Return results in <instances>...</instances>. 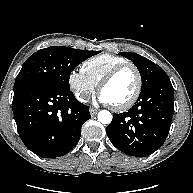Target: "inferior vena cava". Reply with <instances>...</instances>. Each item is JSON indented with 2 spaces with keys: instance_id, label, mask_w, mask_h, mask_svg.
I'll return each instance as SVG.
<instances>
[{
  "instance_id": "602c4592",
  "label": "inferior vena cava",
  "mask_w": 193,
  "mask_h": 193,
  "mask_svg": "<svg viewBox=\"0 0 193 193\" xmlns=\"http://www.w3.org/2000/svg\"><path fill=\"white\" fill-rule=\"evenodd\" d=\"M78 99L81 102H86L89 99V96L87 94L82 93L80 96H78Z\"/></svg>"
}]
</instances>
